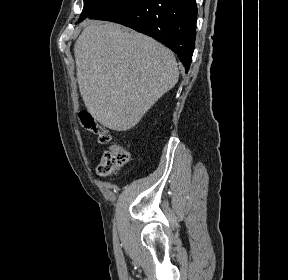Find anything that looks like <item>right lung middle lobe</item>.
Masks as SVG:
<instances>
[{"label": "right lung middle lobe", "instance_id": "obj_1", "mask_svg": "<svg viewBox=\"0 0 288 280\" xmlns=\"http://www.w3.org/2000/svg\"><path fill=\"white\" fill-rule=\"evenodd\" d=\"M110 1L112 0H84V7L79 22L92 15L96 10Z\"/></svg>", "mask_w": 288, "mask_h": 280}]
</instances>
